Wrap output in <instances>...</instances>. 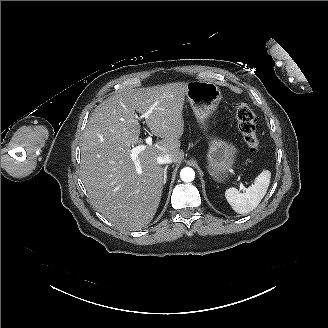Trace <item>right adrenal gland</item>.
<instances>
[{
	"mask_svg": "<svg viewBox=\"0 0 328 328\" xmlns=\"http://www.w3.org/2000/svg\"><path fill=\"white\" fill-rule=\"evenodd\" d=\"M165 171H166V169H165ZM166 183V174H165V176H164V184Z\"/></svg>",
	"mask_w": 328,
	"mask_h": 328,
	"instance_id": "obj_1",
	"label": "right adrenal gland"
}]
</instances>
